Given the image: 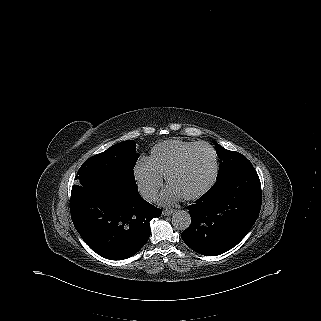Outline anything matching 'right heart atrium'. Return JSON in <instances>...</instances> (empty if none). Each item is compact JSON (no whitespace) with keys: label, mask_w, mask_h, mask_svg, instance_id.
Here are the masks:
<instances>
[{"label":"right heart atrium","mask_w":321,"mask_h":321,"mask_svg":"<svg viewBox=\"0 0 321 321\" xmlns=\"http://www.w3.org/2000/svg\"><path fill=\"white\" fill-rule=\"evenodd\" d=\"M133 175L141 193L148 200H153L162 185V177L153 170L147 158L137 160Z\"/></svg>","instance_id":"right-heart-atrium-1"}]
</instances>
